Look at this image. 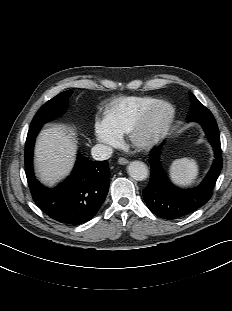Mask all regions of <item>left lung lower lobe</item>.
Segmentation results:
<instances>
[{
    "instance_id": "obj_1",
    "label": "left lung lower lobe",
    "mask_w": 232,
    "mask_h": 311,
    "mask_svg": "<svg viewBox=\"0 0 232 311\" xmlns=\"http://www.w3.org/2000/svg\"><path fill=\"white\" fill-rule=\"evenodd\" d=\"M188 121L202 125L213 147L215 160L203 182L194 189L186 190L175 187L165 175L159 161L162 144L151 151L150 181L143 190V196L148 208L164 219L183 217L204 205L212 196V190L223 165L218 127L212 113L193 116L188 118Z\"/></svg>"
}]
</instances>
